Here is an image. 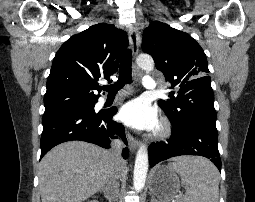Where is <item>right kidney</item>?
Returning a JSON list of instances; mask_svg holds the SVG:
<instances>
[{"instance_id": "1", "label": "right kidney", "mask_w": 255, "mask_h": 202, "mask_svg": "<svg viewBox=\"0 0 255 202\" xmlns=\"http://www.w3.org/2000/svg\"><path fill=\"white\" fill-rule=\"evenodd\" d=\"M90 202H98V201H96V200H93V201H90Z\"/></svg>"}]
</instances>
